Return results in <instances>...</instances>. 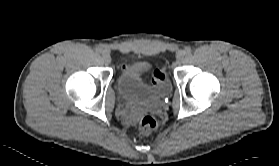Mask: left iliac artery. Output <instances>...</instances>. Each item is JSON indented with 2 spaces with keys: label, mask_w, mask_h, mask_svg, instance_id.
Segmentation results:
<instances>
[{
  "label": "left iliac artery",
  "mask_w": 279,
  "mask_h": 166,
  "mask_svg": "<svg viewBox=\"0 0 279 166\" xmlns=\"http://www.w3.org/2000/svg\"><path fill=\"white\" fill-rule=\"evenodd\" d=\"M184 55H190L191 54V49L190 48H186L184 51H183Z\"/></svg>",
  "instance_id": "44dca946"
}]
</instances>
